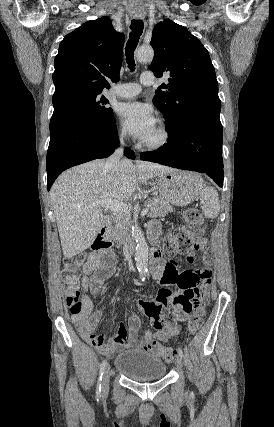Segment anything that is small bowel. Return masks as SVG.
<instances>
[{"instance_id":"small-bowel-1","label":"small bowel","mask_w":274,"mask_h":427,"mask_svg":"<svg viewBox=\"0 0 274 427\" xmlns=\"http://www.w3.org/2000/svg\"><path fill=\"white\" fill-rule=\"evenodd\" d=\"M160 233V225L152 222L148 227L150 239L159 237ZM195 252H200L201 256L207 255V250L202 249L199 244H196L190 251L181 252L182 255L188 256L189 265H196L198 262L197 257L194 256ZM116 261V255L111 250L103 247H96L92 250L83 266L81 285L84 291L91 292L95 296L99 295L105 280L114 274ZM170 262L172 261L159 258L150 263L151 274L158 279L162 289L156 293L158 299H138L136 303L138 312L147 313V318L151 320L150 324L156 332L148 330L142 338H139L141 319L137 314H132L129 317L128 326L123 322L119 323L117 334L113 339L96 334L95 328L103 317V311H93V303L85 294L81 312L71 316L80 336L105 356H112L133 348H144L151 340L167 341L172 335L180 336L182 331L177 320H188L189 315L188 311L182 310H194L195 305H205L208 300L210 278L214 276V271L210 268H213L214 264H203L201 269H179L177 264H169L167 266L169 277H164L165 267ZM199 284H201V293L197 297ZM178 298L191 301H177ZM119 302L123 303L122 297ZM120 314L124 315L125 310L121 309Z\"/></svg>"}]
</instances>
